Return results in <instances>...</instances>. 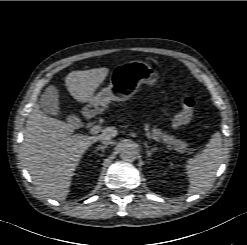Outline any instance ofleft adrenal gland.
I'll list each match as a JSON object with an SVG mask.
<instances>
[{"mask_svg":"<svg viewBox=\"0 0 247 245\" xmlns=\"http://www.w3.org/2000/svg\"><path fill=\"white\" fill-rule=\"evenodd\" d=\"M144 145H145V148H146L147 157H150V156L153 154L154 149H151V150H150V147L148 146L147 143H145Z\"/></svg>","mask_w":247,"mask_h":245,"instance_id":"left-adrenal-gland-1","label":"left adrenal gland"}]
</instances>
